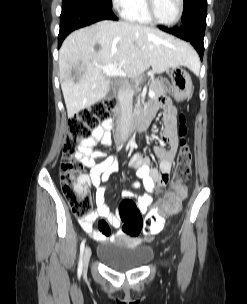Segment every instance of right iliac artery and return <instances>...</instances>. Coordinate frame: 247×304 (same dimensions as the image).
Wrapping results in <instances>:
<instances>
[{
	"instance_id": "1",
	"label": "right iliac artery",
	"mask_w": 247,
	"mask_h": 304,
	"mask_svg": "<svg viewBox=\"0 0 247 304\" xmlns=\"http://www.w3.org/2000/svg\"><path fill=\"white\" fill-rule=\"evenodd\" d=\"M84 247H85V239L80 244V259L78 264V275H81L82 273Z\"/></svg>"
}]
</instances>
